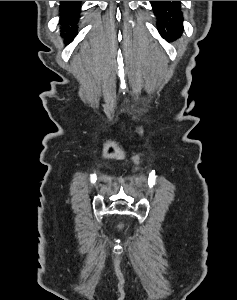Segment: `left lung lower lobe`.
<instances>
[{
  "mask_svg": "<svg viewBox=\"0 0 237 300\" xmlns=\"http://www.w3.org/2000/svg\"><path fill=\"white\" fill-rule=\"evenodd\" d=\"M151 4L154 5L155 2H154V1H151ZM182 30H183V29H182ZM182 30L177 31V32L175 33V36H176V35H179V32H182ZM162 35H163L165 38L169 39V35H168V34H162Z\"/></svg>",
  "mask_w": 237,
  "mask_h": 300,
  "instance_id": "1",
  "label": "left lung lower lobe"
}]
</instances>
